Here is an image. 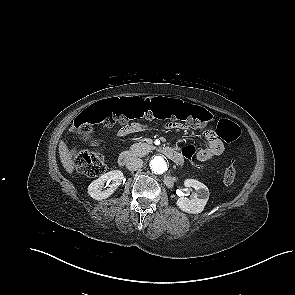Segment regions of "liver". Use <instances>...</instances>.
<instances>
[{"instance_id":"1","label":"liver","mask_w":295,"mask_h":295,"mask_svg":"<svg viewBox=\"0 0 295 295\" xmlns=\"http://www.w3.org/2000/svg\"><path fill=\"white\" fill-rule=\"evenodd\" d=\"M59 154L64 169L69 174H72L74 171V161L72 159V154L64 141H61L59 144Z\"/></svg>"}]
</instances>
